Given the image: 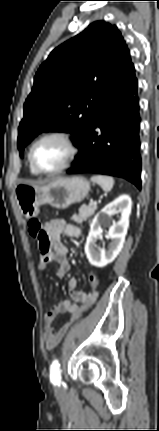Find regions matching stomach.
Returning a JSON list of instances; mask_svg holds the SVG:
<instances>
[{"mask_svg": "<svg viewBox=\"0 0 159 431\" xmlns=\"http://www.w3.org/2000/svg\"><path fill=\"white\" fill-rule=\"evenodd\" d=\"M90 191V183L83 177L56 178L47 185L19 183L15 187L17 205L26 218L39 214V207L49 204L65 209L84 200Z\"/></svg>", "mask_w": 159, "mask_h": 431, "instance_id": "0dacf381", "label": "stomach"}]
</instances>
